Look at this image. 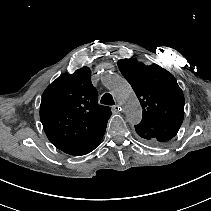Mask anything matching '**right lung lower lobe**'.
<instances>
[{"instance_id":"98d812e1","label":"right lung lower lobe","mask_w":211,"mask_h":211,"mask_svg":"<svg viewBox=\"0 0 211 211\" xmlns=\"http://www.w3.org/2000/svg\"><path fill=\"white\" fill-rule=\"evenodd\" d=\"M105 133V132H104ZM104 133L96 138L82 141L80 143L64 147L60 150L70 155H85L93 151L101 142Z\"/></svg>"}]
</instances>
